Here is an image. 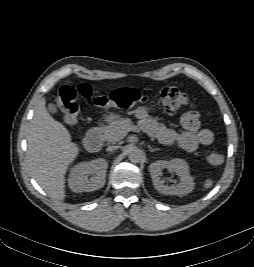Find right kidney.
<instances>
[{
    "mask_svg": "<svg viewBox=\"0 0 254 267\" xmlns=\"http://www.w3.org/2000/svg\"><path fill=\"white\" fill-rule=\"evenodd\" d=\"M108 163L103 158L75 165L69 175V187L73 192H91L102 188L106 181Z\"/></svg>",
    "mask_w": 254,
    "mask_h": 267,
    "instance_id": "1",
    "label": "right kidney"
}]
</instances>
